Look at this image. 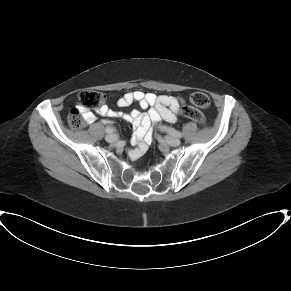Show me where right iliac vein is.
I'll use <instances>...</instances> for the list:
<instances>
[{
  "mask_svg": "<svg viewBox=\"0 0 291 291\" xmlns=\"http://www.w3.org/2000/svg\"><path fill=\"white\" fill-rule=\"evenodd\" d=\"M105 139L107 142H110V143H115L118 141V137L115 134H108L106 135Z\"/></svg>",
  "mask_w": 291,
  "mask_h": 291,
  "instance_id": "obj_1",
  "label": "right iliac vein"
}]
</instances>
